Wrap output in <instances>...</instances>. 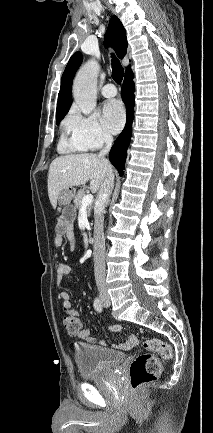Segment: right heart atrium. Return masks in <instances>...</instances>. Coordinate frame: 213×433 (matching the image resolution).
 <instances>
[{
  "mask_svg": "<svg viewBox=\"0 0 213 433\" xmlns=\"http://www.w3.org/2000/svg\"><path fill=\"white\" fill-rule=\"evenodd\" d=\"M65 127L72 140L87 150H96L112 139L95 114L85 115L77 109L69 113Z\"/></svg>",
  "mask_w": 213,
  "mask_h": 433,
  "instance_id": "obj_1",
  "label": "right heart atrium"
}]
</instances>
